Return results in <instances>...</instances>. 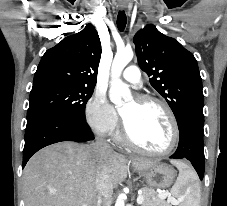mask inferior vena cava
I'll list each match as a JSON object with an SVG mask.
<instances>
[{"instance_id": "obj_1", "label": "inferior vena cava", "mask_w": 227, "mask_h": 206, "mask_svg": "<svg viewBox=\"0 0 227 206\" xmlns=\"http://www.w3.org/2000/svg\"><path fill=\"white\" fill-rule=\"evenodd\" d=\"M95 148L101 154L112 152V148L103 139H98ZM97 200L95 206H110L113 194V183L105 167L97 172Z\"/></svg>"}]
</instances>
